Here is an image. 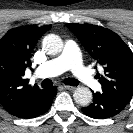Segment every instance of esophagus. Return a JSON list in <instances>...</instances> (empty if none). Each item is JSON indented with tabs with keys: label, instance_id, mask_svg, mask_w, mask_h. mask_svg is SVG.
<instances>
[{
	"label": "esophagus",
	"instance_id": "34e87169",
	"mask_svg": "<svg viewBox=\"0 0 133 133\" xmlns=\"http://www.w3.org/2000/svg\"><path fill=\"white\" fill-rule=\"evenodd\" d=\"M64 88L67 89V90H70V91L75 90V87L74 86H70V85H64Z\"/></svg>",
	"mask_w": 133,
	"mask_h": 133
}]
</instances>
